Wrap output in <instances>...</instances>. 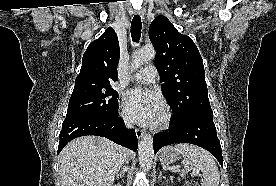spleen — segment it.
I'll list each match as a JSON object with an SVG mask.
<instances>
[{
	"instance_id": "obj_1",
	"label": "spleen",
	"mask_w": 276,
	"mask_h": 186,
	"mask_svg": "<svg viewBox=\"0 0 276 186\" xmlns=\"http://www.w3.org/2000/svg\"><path fill=\"white\" fill-rule=\"evenodd\" d=\"M174 149L184 157L182 163L187 171L200 170L202 172V186H218L220 181L219 169L213 156L204 149L195 145L180 143ZM186 172H182L181 177H185Z\"/></svg>"
}]
</instances>
